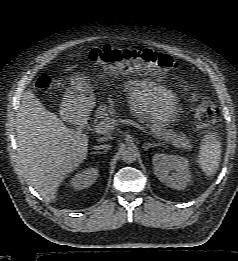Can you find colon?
<instances>
[{
  "mask_svg": "<svg viewBox=\"0 0 238 261\" xmlns=\"http://www.w3.org/2000/svg\"><path fill=\"white\" fill-rule=\"evenodd\" d=\"M90 62L100 65L115 73L137 72L163 76L177 68V63L166 54L149 49L139 50L102 45L92 48L88 53ZM50 86V78L41 75L36 81V88L44 91ZM193 103L197 127L202 132L209 131L219 119L216 106L194 85H186Z\"/></svg>",
  "mask_w": 238,
  "mask_h": 261,
  "instance_id": "1",
  "label": "colon"
}]
</instances>
